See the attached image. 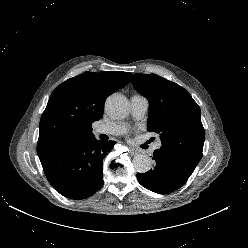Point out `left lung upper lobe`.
I'll return each instance as SVG.
<instances>
[{
  "label": "left lung upper lobe",
  "instance_id": "obj_1",
  "mask_svg": "<svg viewBox=\"0 0 248 248\" xmlns=\"http://www.w3.org/2000/svg\"><path fill=\"white\" fill-rule=\"evenodd\" d=\"M132 84L149 101L148 131L162 142L157 151L193 172L205 140L200 107L186 89L158 75L136 73Z\"/></svg>",
  "mask_w": 248,
  "mask_h": 248
}]
</instances>
